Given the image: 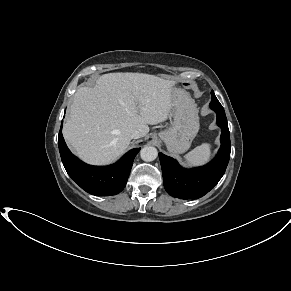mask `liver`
<instances>
[{
	"mask_svg": "<svg viewBox=\"0 0 291 291\" xmlns=\"http://www.w3.org/2000/svg\"><path fill=\"white\" fill-rule=\"evenodd\" d=\"M174 82L143 73H109L94 88L74 95L63 136L87 163L107 164L122 155L139 130L165 121L172 109Z\"/></svg>",
	"mask_w": 291,
	"mask_h": 291,
	"instance_id": "6515ba94",
	"label": "liver"
}]
</instances>
